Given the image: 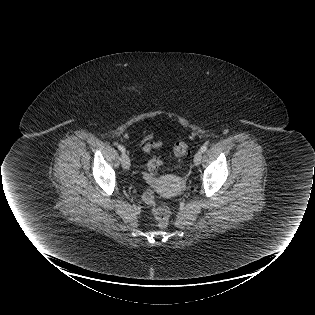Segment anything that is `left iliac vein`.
Wrapping results in <instances>:
<instances>
[{
    "label": "left iliac vein",
    "instance_id": "4c4485c4",
    "mask_svg": "<svg viewBox=\"0 0 315 315\" xmlns=\"http://www.w3.org/2000/svg\"><path fill=\"white\" fill-rule=\"evenodd\" d=\"M201 160H202V152L198 151L194 156V164L198 166L201 163Z\"/></svg>",
    "mask_w": 315,
    "mask_h": 315
}]
</instances>
